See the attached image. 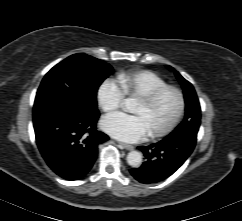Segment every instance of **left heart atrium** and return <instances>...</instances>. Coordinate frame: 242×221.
Wrapping results in <instances>:
<instances>
[{
    "instance_id": "obj_1",
    "label": "left heart atrium",
    "mask_w": 242,
    "mask_h": 221,
    "mask_svg": "<svg viewBox=\"0 0 242 221\" xmlns=\"http://www.w3.org/2000/svg\"><path fill=\"white\" fill-rule=\"evenodd\" d=\"M103 130L112 137L124 142H136L143 139L149 129L143 117L114 113L103 118Z\"/></svg>"
}]
</instances>
